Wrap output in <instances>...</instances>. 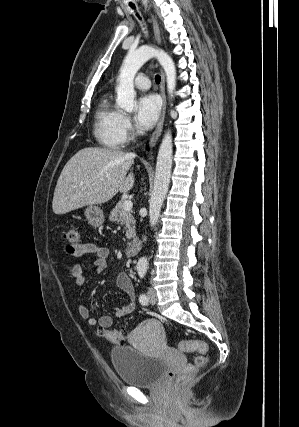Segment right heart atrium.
<instances>
[{"label":"right heart atrium","mask_w":299,"mask_h":427,"mask_svg":"<svg viewBox=\"0 0 299 427\" xmlns=\"http://www.w3.org/2000/svg\"><path fill=\"white\" fill-rule=\"evenodd\" d=\"M120 128L124 142L129 140L133 136L134 128L132 126L130 118L127 115L122 114Z\"/></svg>","instance_id":"d8ad5b80"}]
</instances>
